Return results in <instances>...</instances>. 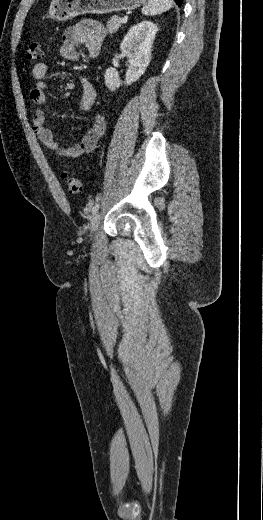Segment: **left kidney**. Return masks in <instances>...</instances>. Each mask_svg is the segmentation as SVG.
Instances as JSON below:
<instances>
[{
	"label": "left kidney",
	"mask_w": 263,
	"mask_h": 520,
	"mask_svg": "<svg viewBox=\"0 0 263 520\" xmlns=\"http://www.w3.org/2000/svg\"><path fill=\"white\" fill-rule=\"evenodd\" d=\"M157 30V26L152 22L142 21L133 26L124 37L120 49L130 62L125 84L130 85L144 74L151 60L152 44ZM104 77L105 84L111 91L116 90L122 84L119 74L114 68L107 69Z\"/></svg>",
	"instance_id": "obj_1"
}]
</instances>
